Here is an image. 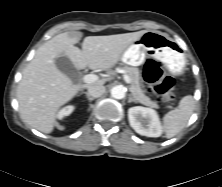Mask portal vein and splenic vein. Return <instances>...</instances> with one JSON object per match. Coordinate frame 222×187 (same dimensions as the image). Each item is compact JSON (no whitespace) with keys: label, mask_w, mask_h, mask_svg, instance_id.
<instances>
[{"label":"portal vein and splenic vein","mask_w":222,"mask_h":187,"mask_svg":"<svg viewBox=\"0 0 222 187\" xmlns=\"http://www.w3.org/2000/svg\"><path fill=\"white\" fill-rule=\"evenodd\" d=\"M99 78H98V76L97 75H95V74H87V75H85L84 77H83V81L85 82V83H93V82H95V81H97ZM124 80H125V82L126 83H131V79H130V77L128 76V75H124ZM170 109H174V107L173 106H168Z\"/></svg>","instance_id":"obj_1"}]
</instances>
